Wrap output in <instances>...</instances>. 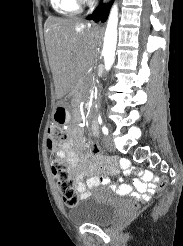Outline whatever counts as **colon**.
Returning a JSON list of instances; mask_svg holds the SVG:
<instances>
[{"instance_id":"colon-1","label":"colon","mask_w":183,"mask_h":246,"mask_svg":"<svg viewBox=\"0 0 183 246\" xmlns=\"http://www.w3.org/2000/svg\"><path fill=\"white\" fill-rule=\"evenodd\" d=\"M66 110L63 106L57 108L55 118L58 123L66 120ZM66 135L61 127L54 125L49 128L47 146L51 152H55L65 141ZM95 157H104V149H98L95 144L91 147ZM52 173L56 179L57 188L61 194L64 204L68 207H74L79 201L76 181L70 176L67 164L61 160L55 159L52 163ZM146 176V175H145ZM158 189L162 190L167 184L166 178H161V182H155Z\"/></svg>"}]
</instances>
